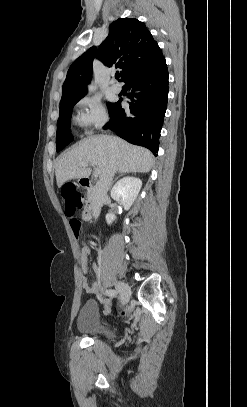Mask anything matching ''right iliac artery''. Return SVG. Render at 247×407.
I'll list each match as a JSON object with an SVG mask.
<instances>
[{
	"label": "right iliac artery",
	"instance_id": "1",
	"mask_svg": "<svg viewBox=\"0 0 247 407\" xmlns=\"http://www.w3.org/2000/svg\"><path fill=\"white\" fill-rule=\"evenodd\" d=\"M118 292H119V291H118L117 289H109V290H106V295L112 297V296L117 295Z\"/></svg>",
	"mask_w": 247,
	"mask_h": 407
}]
</instances>
